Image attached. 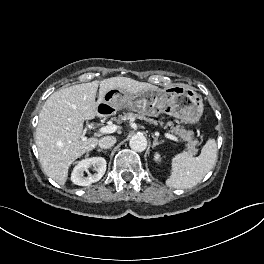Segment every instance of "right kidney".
Instances as JSON below:
<instances>
[{
  "label": "right kidney",
  "mask_w": 264,
  "mask_h": 264,
  "mask_svg": "<svg viewBox=\"0 0 264 264\" xmlns=\"http://www.w3.org/2000/svg\"><path fill=\"white\" fill-rule=\"evenodd\" d=\"M106 160L103 157H92L81 160L73 169L71 180L79 186H89L99 181L106 171ZM93 168L96 173L84 176L89 168Z\"/></svg>",
  "instance_id": "ca27d5eb"
}]
</instances>
